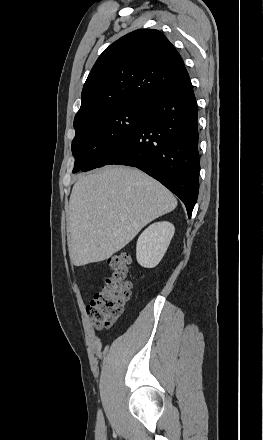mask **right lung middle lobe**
I'll list each match as a JSON object with an SVG mask.
<instances>
[{
  "label": "right lung middle lobe",
  "instance_id": "1",
  "mask_svg": "<svg viewBox=\"0 0 263 440\" xmlns=\"http://www.w3.org/2000/svg\"><path fill=\"white\" fill-rule=\"evenodd\" d=\"M147 114V102H132L97 113L75 126L73 173L107 164Z\"/></svg>",
  "mask_w": 263,
  "mask_h": 440
}]
</instances>
